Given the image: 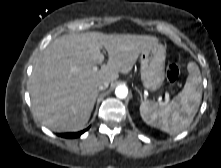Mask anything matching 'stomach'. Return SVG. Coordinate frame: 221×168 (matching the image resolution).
Listing matches in <instances>:
<instances>
[{"label":"stomach","mask_w":221,"mask_h":168,"mask_svg":"<svg viewBox=\"0 0 221 168\" xmlns=\"http://www.w3.org/2000/svg\"><path fill=\"white\" fill-rule=\"evenodd\" d=\"M166 51L162 45L147 48L141 52V81L147 90L155 91L164 82Z\"/></svg>","instance_id":"1"}]
</instances>
